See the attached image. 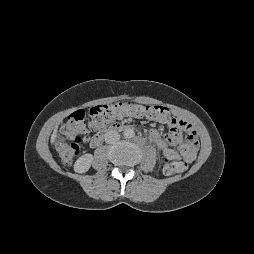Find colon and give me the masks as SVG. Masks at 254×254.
I'll use <instances>...</instances> for the list:
<instances>
[{"label": "colon", "instance_id": "colon-1", "mask_svg": "<svg viewBox=\"0 0 254 254\" xmlns=\"http://www.w3.org/2000/svg\"><path fill=\"white\" fill-rule=\"evenodd\" d=\"M167 111L157 105L120 102L101 104L92 107L88 120L84 111L72 113L61 126V136L56 140L55 148L64 164H71L78 155L85 137L90 131H102L123 117H145L158 120L166 117ZM186 165L183 162L165 159L163 172L174 175L183 172Z\"/></svg>", "mask_w": 254, "mask_h": 254}]
</instances>
